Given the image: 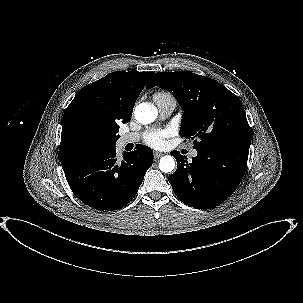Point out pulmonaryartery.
<instances>
[{
	"label": "pulmonary artery",
	"instance_id": "pulmonary-artery-1",
	"mask_svg": "<svg viewBox=\"0 0 303 303\" xmlns=\"http://www.w3.org/2000/svg\"><path fill=\"white\" fill-rule=\"evenodd\" d=\"M159 109V114L162 118L168 117L174 110L176 106L175 101H163L156 103ZM140 135L138 133H126L119 137V144L121 146H125L130 143H135L139 140ZM196 150H191L190 155L191 157L197 156Z\"/></svg>",
	"mask_w": 303,
	"mask_h": 303
}]
</instances>
